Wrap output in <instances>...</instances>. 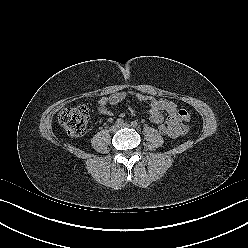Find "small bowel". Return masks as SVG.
<instances>
[{
	"label": "small bowel",
	"mask_w": 248,
	"mask_h": 248,
	"mask_svg": "<svg viewBox=\"0 0 248 248\" xmlns=\"http://www.w3.org/2000/svg\"><path fill=\"white\" fill-rule=\"evenodd\" d=\"M132 96L149 104V118L155 124L164 122L163 113H167L166 125L171 130V137H178L188 130L186 123L190 120L187 110L179 108L173 101L168 99H156L153 96L138 93L118 91L109 96L102 97L98 102V111L101 115H109L108 106L117 105L127 97Z\"/></svg>",
	"instance_id": "small-bowel-1"
}]
</instances>
